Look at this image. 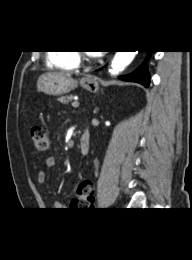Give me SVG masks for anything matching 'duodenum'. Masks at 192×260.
Returning a JSON list of instances; mask_svg holds the SVG:
<instances>
[{"instance_id": "obj_1", "label": "duodenum", "mask_w": 192, "mask_h": 260, "mask_svg": "<svg viewBox=\"0 0 192 260\" xmlns=\"http://www.w3.org/2000/svg\"><path fill=\"white\" fill-rule=\"evenodd\" d=\"M90 142H91L90 132L88 129H85L80 138V143H79V150L81 154L83 155L88 154L90 150Z\"/></svg>"}]
</instances>
